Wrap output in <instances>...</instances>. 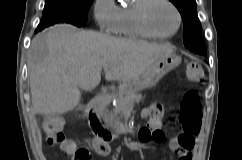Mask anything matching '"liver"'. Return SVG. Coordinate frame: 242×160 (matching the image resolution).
<instances>
[{"instance_id":"1","label":"liver","mask_w":242,"mask_h":160,"mask_svg":"<svg viewBox=\"0 0 242 160\" xmlns=\"http://www.w3.org/2000/svg\"><path fill=\"white\" fill-rule=\"evenodd\" d=\"M174 52L169 44H155L106 36L57 24L32 40L28 69L33 110L36 114H62L81 99L80 89L92 90L109 65L107 81L138 78L155 61Z\"/></svg>"}]
</instances>
